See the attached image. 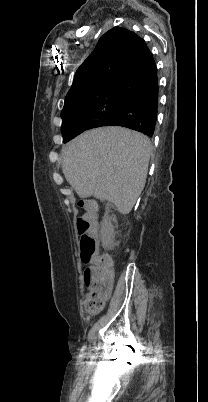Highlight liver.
<instances>
[{"instance_id": "1", "label": "liver", "mask_w": 208, "mask_h": 402, "mask_svg": "<svg viewBox=\"0 0 208 402\" xmlns=\"http://www.w3.org/2000/svg\"><path fill=\"white\" fill-rule=\"evenodd\" d=\"M151 146L127 128L84 132L62 150V172L80 198L94 196L129 214L146 182Z\"/></svg>"}]
</instances>
